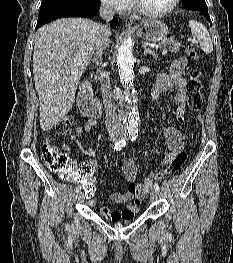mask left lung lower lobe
<instances>
[{"instance_id":"obj_1","label":"left lung lower lobe","mask_w":233,"mask_h":263,"mask_svg":"<svg viewBox=\"0 0 233 263\" xmlns=\"http://www.w3.org/2000/svg\"><path fill=\"white\" fill-rule=\"evenodd\" d=\"M205 17H206V19L211 23V19H210V16H209V14H208V10L206 9V10H202V11H200Z\"/></svg>"}]
</instances>
